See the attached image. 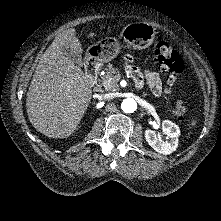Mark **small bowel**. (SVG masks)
<instances>
[{
    "instance_id": "obj_1",
    "label": "small bowel",
    "mask_w": 221,
    "mask_h": 221,
    "mask_svg": "<svg viewBox=\"0 0 221 221\" xmlns=\"http://www.w3.org/2000/svg\"><path fill=\"white\" fill-rule=\"evenodd\" d=\"M128 62H130V59H128ZM127 71L138 83L142 81L141 72L136 67L132 66L130 63H128L127 65ZM145 76L147 78L150 89L156 96H159L162 93L170 92V89L168 87L163 86L156 72L146 71Z\"/></svg>"
}]
</instances>
